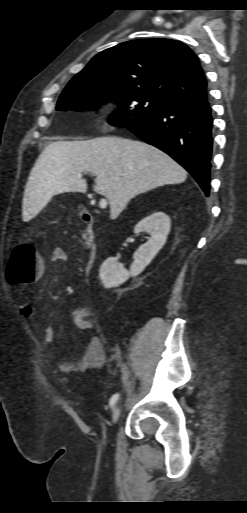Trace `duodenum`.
I'll return each instance as SVG.
<instances>
[{
	"label": "duodenum",
	"mask_w": 247,
	"mask_h": 513,
	"mask_svg": "<svg viewBox=\"0 0 247 513\" xmlns=\"http://www.w3.org/2000/svg\"><path fill=\"white\" fill-rule=\"evenodd\" d=\"M80 215H81L82 220L86 224H89L90 226L92 225V223H93V216H92L91 212L86 207L83 206L80 209ZM97 256H98L97 251L96 250H91L90 257H89L90 261L94 263L96 261V259H97Z\"/></svg>",
	"instance_id": "duodenum-1"
}]
</instances>
